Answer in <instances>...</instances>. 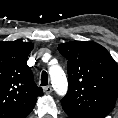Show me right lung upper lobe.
Here are the masks:
<instances>
[{"instance_id":"right-lung-upper-lobe-1","label":"right lung upper lobe","mask_w":118,"mask_h":118,"mask_svg":"<svg viewBox=\"0 0 118 118\" xmlns=\"http://www.w3.org/2000/svg\"><path fill=\"white\" fill-rule=\"evenodd\" d=\"M33 47L21 40L0 42V118H26L43 95L26 63Z\"/></svg>"}]
</instances>
